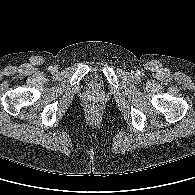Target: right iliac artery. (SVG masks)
I'll list each match as a JSON object with an SVG mask.
<instances>
[{
    "label": "right iliac artery",
    "instance_id": "right-iliac-artery-1",
    "mask_svg": "<svg viewBox=\"0 0 195 195\" xmlns=\"http://www.w3.org/2000/svg\"><path fill=\"white\" fill-rule=\"evenodd\" d=\"M48 70L52 71V70H53V67H52V66H50V67L48 68Z\"/></svg>",
    "mask_w": 195,
    "mask_h": 195
}]
</instances>
